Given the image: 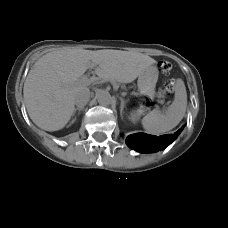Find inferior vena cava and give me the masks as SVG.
<instances>
[{
    "label": "inferior vena cava",
    "instance_id": "602c4592",
    "mask_svg": "<svg viewBox=\"0 0 228 228\" xmlns=\"http://www.w3.org/2000/svg\"><path fill=\"white\" fill-rule=\"evenodd\" d=\"M89 97H90V91L89 89H81L78 90L75 94H74V104H76V106L84 108V106L88 103L89 101Z\"/></svg>",
    "mask_w": 228,
    "mask_h": 228
}]
</instances>
